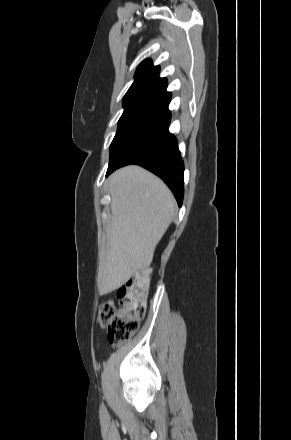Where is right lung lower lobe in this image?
Listing matches in <instances>:
<instances>
[{
  "instance_id": "right-lung-lower-lobe-1",
  "label": "right lung lower lobe",
  "mask_w": 291,
  "mask_h": 440,
  "mask_svg": "<svg viewBox=\"0 0 291 440\" xmlns=\"http://www.w3.org/2000/svg\"><path fill=\"white\" fill-rule=\"evenodd\" d=\"M171 93L153 101L139 124L111 160L106 176L114 170L138 164L164 180L181 206L184 194V163L176 138L169 133Z\"/></svg>"
}]
</instances>
